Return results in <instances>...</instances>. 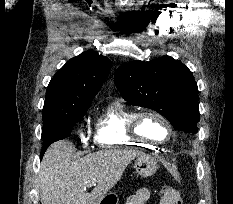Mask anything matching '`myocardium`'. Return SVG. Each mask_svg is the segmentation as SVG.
<instances>
[{"label":"myocardium","instance_id":"1","mask_svg":"<svg viewBox=\"0 0 233 204\" xmlns=\"http://www.w3.org/2000/svg\"><path fill=\"white\" fill-rule=\"evenodd\" d=\"M147 116L155 117L164 123V125L167 128V132H168L167 137L165 139L155 140L153 138H150V137L144 135L141 132V130H140L141 120ZM129 133L133 137H135L139 140H143V141L148 142V143L164 144L172 138L174 131H173V127H172L171 122L169 121V119L165 115H163L162 113H160L156 110H153V109H144V110L135 112V114L133 115V117L130 121V124H129Z\"/></svg>","mask_w":233,"mask_h":204}]
</instances>
